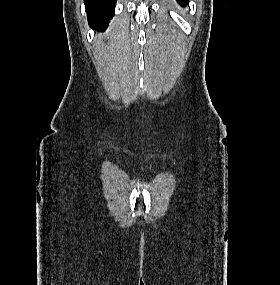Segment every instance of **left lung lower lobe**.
Masks as SVG:
<instances>
[{"instance_id": "left-lung-lower-lobe-1", "label": "left lung lower lobe", "mask_w": 280, "mask_h": 285, "mask_svg": "<svg viewBox=\"0 0 280 285\" xmlns=\"http://www.w3.org/2000/svg\"><path fill=\"white\" fill-rule=\"evenodd\" d=\"M181 5H185L187 2H188V0H177Z\"/></svg>"}]
</instances>
